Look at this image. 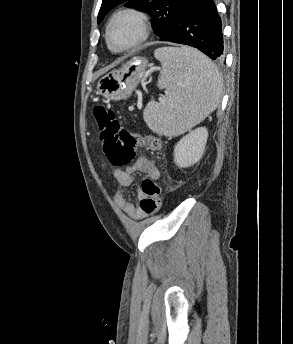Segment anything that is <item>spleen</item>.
<instances>
[{
    "label": "spleen",
    "mask_w": 293,
    "mask_h": 344,
    "mask_svg": "<svg viewBox=\"0 0 293 344\" xmlns=\"http://www.w3.org/2000/svg\"><path fill=\"white\" fill-rule=\"evenodd\" d=\"M154 56L162 65L158 87L166 90V97L147 104L144 121L159 135L178 136L217 108L222 76L208 57L190 47H162Z\"/></svg>",
    "instance_id": "obj_1"
}]
</instances>
